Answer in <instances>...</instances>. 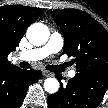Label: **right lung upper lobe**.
I'll use <instances>...</instances> for the list:
<instances>
[{"label":"right lung upper lobe","mask_w":108,"mask_h":108,"mask_svg":"<svg viewBox=\"0 0 108 108\" xmlns=\"http://www.w3.org/2000/svg\"><path fill=\"white\" fill-rule=\"evenodd\" d=\"M43 10L20 5L0 7V71L18 68L7 57L14 51L28 26L36 21Z\"/></svg>","instance_id":"obj_1"}]
</instances>
